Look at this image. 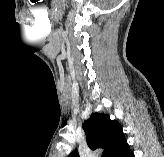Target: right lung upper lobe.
I'll list each match as a JSON object with an SVG mask.
<instances>
[{
  "mask_svg": "<svg viewBox=\"0 0 164 157\" xmlns=\"http://www.w3.org/2000/svg\"><path fill=\"white\" fill-rule=\"evenodd\" d=\"M87 144L92 149L103 148L102 157H115L126 141L119 122L111 120L109 115L93 113L83 124ZM68 157H80L74 150Z\"/></svg>",
  "mask_w": 164,
  "mask_h": 157,
  "instance_id": "1",
  "label": "right lung upper lobe"
}]
</instances>
